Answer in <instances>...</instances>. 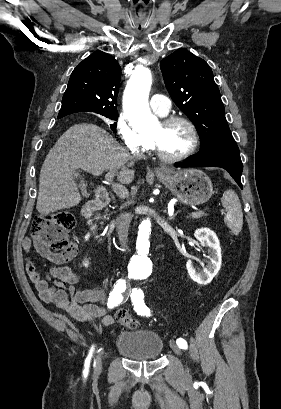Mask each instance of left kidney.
<instances>
[{"instance_id": "obj_1", "label": "left kidney", "mask_w": 281, "mask_h": 409, "mask_svg": "<svg viewBox=\"0 0 281 409\" xmlns=\"http://www.w3.org/2000/svg\"><path fill=\"white\" fill-rule=\"evenodd\" d=\"M194 237L197 241H200L201 247H209L208 259H210V261H208V265L204 267L203 271L196 269L192 261H187L186 269L192 281H195L198 285H208V283H211L213 277L217 275L218 271H220L222 263L220 243L214 231H210L207 227H204V229H196Z\"/></svg>"}]
</instances>
